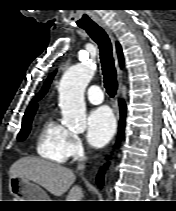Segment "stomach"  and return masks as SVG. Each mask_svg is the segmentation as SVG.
I'll return each instance as SVG.
<instances>
[{"label":"stomach","instance_id":"1","mask_svg":"<svg viewBox=\"0 0 176 211\" xmlns=\"http://www.w3.org/2000/svg\"><path fill=\"white\" fill-rule=\"evenodd\" d=\"M8 188L10 194L19 201H49L43 189L24 178L11 177Z\"/></svg>","mask_w":176,"mask_h":211}]
</instances>
